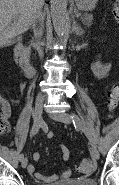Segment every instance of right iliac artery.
<instances>
[{
	"instance_id": "1",
	"label": "right iliac artery",
	"mask_w": 119,
	"mask_h": 185,
	"mask_svg": "<svg viewBox=\"0 0 119 185\" xmlns=\"http://www.w3.org/2000/svg\"><path fill=\"white\" fill-rule=\"evenodd\" d=\"M39 113H32L31 118H34L33 120L35 121V124H40L41 122L39 121L40 119L38 118ZM40 125H33L30 136H34L35 134H37V132L39 131ZM24 158V154H20L19 155V159L22 160Z\"/></svg>"
}]
</instances>
